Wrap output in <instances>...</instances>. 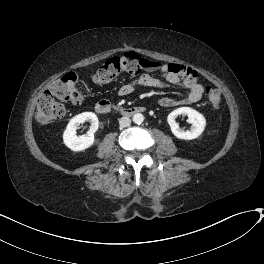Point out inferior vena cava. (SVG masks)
<instances>
[{
    "label": "inferior vena cava",
    "instance_id": "inferior-vena-cava-1",
    "mask_svg": "<svg viewBox=\"0 0 264 264\" xmlns=\"http://www.w3.org/2000/svg\"><path fill=\"white\" fill-rule=\"evenodd\" d=\"M131 124V120L128 117H122L119 119V125L121 127H128Z\"/></svg>",
    "mask_w": 264,
    "mask_h": 264
}]
</instances>
